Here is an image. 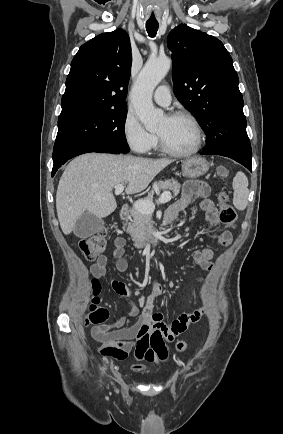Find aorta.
Here are the masks:
<instances>
[{
    "instance_id": "aorta-1",
    "label": "aorta",
    "mask_w": 283,
    "mask_h": 434,
    "mask_svg": "<svg viewBox=\"0 0 283 434\" xmlns=\"http://www.w3.org/2000/svg\"><path fill=\"white\" fill-rule=\"evenodd\" d=\"M170 66L171 60L168 57L150 58L132 88L131 101L134 110L148 131L157 129L163 119V111L153 105L152 94L168 73Z\"/></svg>"
}]
</instances>
